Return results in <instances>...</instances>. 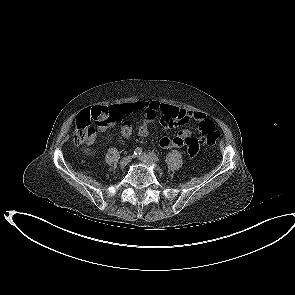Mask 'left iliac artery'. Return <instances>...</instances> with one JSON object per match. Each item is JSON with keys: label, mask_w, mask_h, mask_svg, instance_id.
<instances>
[{"label": "left iliac artery", "mask_w": 295, "mask_h": 295, "mask_svg": "<svg viewBox=\"0 0 295 295\" xmlns=\"http://www.w3.org/2000/svg\"><path fill=\"white\" fill-rule=\"evenodd\" d=\"M149 155L154 161H159L158 156L154 152H149Z\"/></svg>", "instance_id": "44dca946"}]
</instances>
